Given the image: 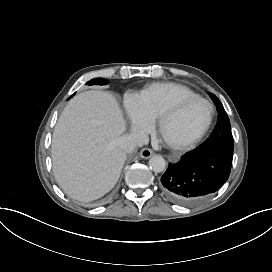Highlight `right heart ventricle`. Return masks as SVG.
Listing matches in <instances>:
<instances>
[{"mask_svg": "<svg viewBox=\"0 0 272 272\" xmlns=\"http://www.w3.org/2000/svg\"><path fill=\"white\" fill-rule=\"evenodd\" d=\"M195 95L182 85L155 84L136 98L133 109L148 118H158L163 113L171 114L173 106L182 98Z\"/></svg>", "mask_w": 272, "mask_h": 272, "instance_id": "1", "label": "right heart ventricle"}]
</instances>
